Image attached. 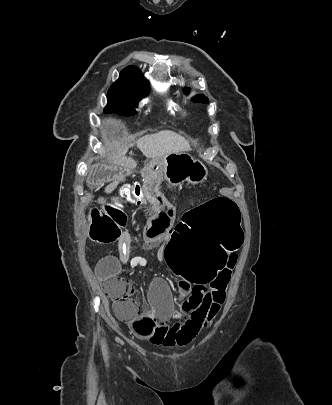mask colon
Masks as SVG:
<instances>
[{"label": "colon", "mask_w": 332, "mask_h": 405, "mask_svg": "<svg viewBox=\"0 0 332 405\" xmlns=\"http://www.w3.org/2000/svg\"><path fill=\"white\" fill-rule=\"evenodd\" d=\"M145 186L123 184L103 197H110V206H100L89 211L90 238L98 243L116 241L126 224L128 205L153 210L144 202ZM127 198L129 204L119 205L117 199ZM243 234L240 227L238 202L231 197H209L208 202L192 205L187 220H178L174 234L166 240L164 268L169 275H179L180 281H191V287H208L209 301L204 310V326L220 312L227 297V288L235 265L234 257L242 249ZM103 289L114 303L116 314L124 319L136 317L139 298L133 283L119 275L108 276Z\"/></svg>", "instance_id": "1"}]
</instances>
